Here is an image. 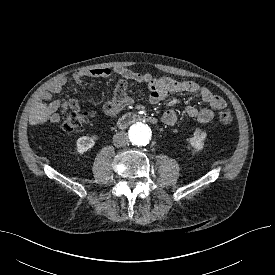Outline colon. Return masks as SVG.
Masks as SVG:
<instances>
[{
  "instance_id": "5ec220e1",
  "label": "colon",
  "mask_w": 275,
  "mask_h": 275,
  "mask_svg": "<svg viewBox=\"0 0 275 275\" xmlns=\"http://www.w3.org/2000/svg\"><path fill=\"white\" fill-rule=\"evenodd\" d=\"M88 118V114L80 111H70L61 122V129L64 132H73L79 129ZM217 120L220 124L228 125L233 121L232 113L229 109L223 108L217 114Z\"/></svg>"
}]
</instances>
